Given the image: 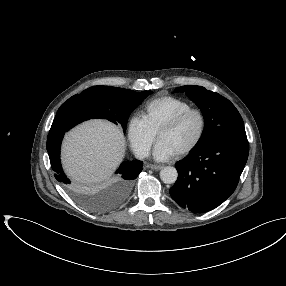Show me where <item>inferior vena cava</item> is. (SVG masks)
I'll return each instance as SVG.
<instances>
[{
  "label": "inferior vena cava",
  "instance_id": "inferior-vena-cava-1",
  "mask_svg": "<svg viewBox=\"0 0 286 286\" xmlns=\"http://www.w3.org/2000/svg\"><path fill=\"white\" fill-rule=\"evenodd\" d=\"M136 158H138V159H144L145 157H147L148 156V151H146V150H140V151H138L137 153H136Z\"/></svg>",
  "mask_w": 286,
  "mask_h": 286
}]
</instances>
